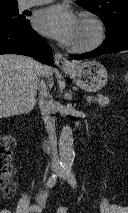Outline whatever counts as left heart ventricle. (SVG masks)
I'll return each instance as SVG.
<instances>
[{
	"label": "left heart ventricle",
	"mask_w": 128,
	"mask_h": 213,
	"mask_svg": "<svg viewBox=\"0 0 128 213\" xmlns=\"http://www.w3.org/2000/svg\"><path fill=\"white\" fill-rule=\"evenodd\" d=\"M94 28L86 23L79 22L78 30L72 45H80L89 42L94 37Z\"/></svg>",
	"instance_id": "left-heart-ventricle-1"
}]
</instances>
